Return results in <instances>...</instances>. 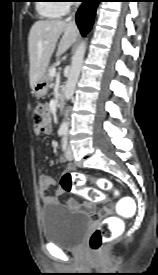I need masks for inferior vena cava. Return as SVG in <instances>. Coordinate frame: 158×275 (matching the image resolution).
<instances>
[{
	"mask_svg": "<svg viewBox=\"0 0 158 275\" xmlns=\"http://www.w3.org/2000/svg\"><path fill=\"white\" fill-rule=\"evenodd\" d=\"M71 19H72V17L70 16L66 19V21L69 22V21H71ZM66 116H67V114H66Z\"/></svg>",
	"mask_w": 158,
	"mask_h": 275,
	"instance_id": "602c4592",
	"label": "inferior vena cava"
}]
</instances>
